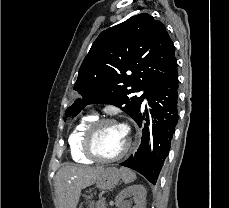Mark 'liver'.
Listing matches in <instances>:
<instances>
[{
	"instance_id": "liver-1",
	"label": "liver",
	"mask_w": 229,
	"mask_h": 208,
	"mask_svg": "<svg viewBox=\"0 0 229 208\" xmlns=\"http://www.w3.org/2000/svg\"><path fill=\"white\" fill-rule=\"evenodd\" d=\"M104 166H79V164H65L60 168L55 178V190L59 208H76L81 190L95 184Z\"/></svg>"
}]
</instances>
